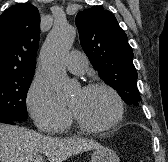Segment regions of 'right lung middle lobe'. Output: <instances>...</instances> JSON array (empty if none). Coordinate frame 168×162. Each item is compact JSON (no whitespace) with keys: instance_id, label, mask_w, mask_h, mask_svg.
Listing matches in <instances>:
<instances>
[{"instance_id":"1","label":"right lung middle lobe","mask_w":168,"mask_h":162,"mask_svg":"<svg viewBox=\"0 0 168 162\" xmlns=\"http://www.w3.org/2000/svg\"><path fill=\"white\" fill-rule=\"evenodd\" d=\"M34 71L0 79V119L25 121L26 96Z\"/></svg>"}]
</instances>
